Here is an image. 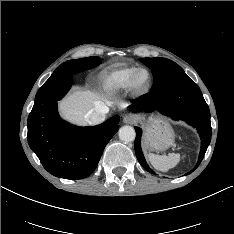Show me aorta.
<instances>
[{"mask_svg":"<svg viewBox=\"0 0 234 234\" xmlns=\"http://www.w3.org/2000/svg\"><path fill=\"white\" fill-rule=\"evenodd\" d=\"M118 135L123 142H132L135 140L136 132L132 126H123L119 129Z\"/></svg>","mask_w":234,"mask_h":234,"instance_id":"1","label":"aorta"}]
</instances>
